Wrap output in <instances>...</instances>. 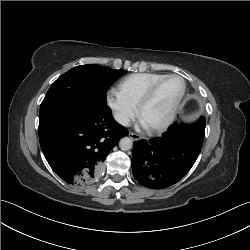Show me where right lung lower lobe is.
I'll return each mask as SVG.
<instances>
[{"mask_svg": "<svg viewBox=\"0 0 250 250\" xmlns=\"http://www.w3.org/2000/svg\"><path fill=\"white\" fill-rule=\"evenodd\" d=\"M128 134L107 105L75 101L39 117V141L56 174L69 184L91 183L107 154Z\"/></svg>", "mask_w": 250, "mask_h": 250, "instance_id": "obj_1", "label": "right lung lower lobe"}]
</instances>
